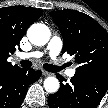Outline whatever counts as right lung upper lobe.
<instances>
[{
  "instance_id": "obj_1",
  "label": "right lung upper lobe",
  "mask_w": 108,
  "mask_h": 108,
  "mask_svg": "<svg viewBox=\"0 0 108 108\" xmlns=\"http://www.w3.org/2000/svg\"><path fill=\"white\" fill-rule=\"evenodd\" d=\"M42 11L36 8L11 6L0 8V73L14 72L19 69L12 66L7 58L19 46L28 27L34 23Z\"/></svg>"
}]
</instances>
